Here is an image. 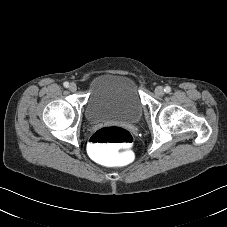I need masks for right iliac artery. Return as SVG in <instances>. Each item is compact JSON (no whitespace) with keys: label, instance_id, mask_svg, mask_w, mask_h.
I'll return each instance as SVG.
<instances>
[{"label":"right iliac artery","instance_id":"obj_1","mask_svg":"<svg viewBox=\"0 0 227 227\" xmlns=\"http://www.w3.org/2000/svg\"><path fill=\"white\" fill-rule=\"evenodd\" d=\"M64 87L68 88L69 87V83L68 82H64Z\"/></svg>","mask_w":227,"mask_h":227}]
</instances>
